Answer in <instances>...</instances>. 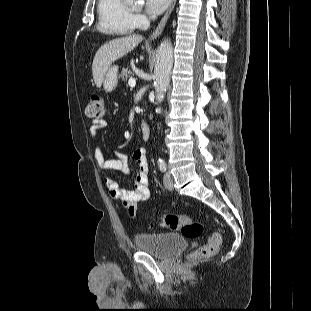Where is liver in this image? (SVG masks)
I'll return each instance as SVG.
<instances>
[{"label":"liver","mask_w":311,"mask_h":311,"mask_svg":"<svg viewBox=\"0 0 311 311\" xmlns=\"http://www.w3.org/2000/svg\"><path fill=\"white\" fill-rule=\"evenodd\" d=\"M142 40L141 35H129L114 39L98 49L92 64L93 79L98 88L111 64L131 52Z\"/></svg>","instance_id":"1"}]
</instances>
